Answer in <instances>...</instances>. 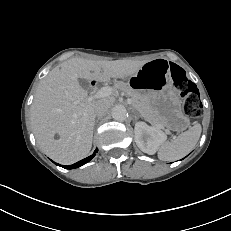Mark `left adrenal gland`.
Wrapping results in <instances>:
<instances>
[{"mask_svg":"<svg viewBox=\"0 0 231 231\" xmlns=\"http://www.w3.org/2000/svg\"><path fill=\"white\" fill-rule=\"evenodd\" d=\"M139 117H142V116H140L137 112L134 111V119L137 120Z\"/></svg>","mask_w":231,"mask_h":231,"instance_id":"a2214340","label":"left adrenal gland"}]
</instances>
